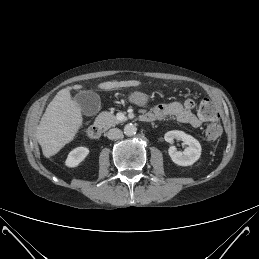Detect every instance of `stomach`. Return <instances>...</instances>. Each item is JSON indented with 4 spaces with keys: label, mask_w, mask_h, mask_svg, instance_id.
Instances as JSON below:
<instances>
[{
    "label": "stomach",
    "mask_w": 259,
    "mask_h": 259,
    "mask_svg": "<svg viewBox=\"0 0 259 259\" xmlns=\"http://www.w3.org/2000/svg\"><path fill=\"white\" fill-rule=\"evenodd\" d=\"M129 101L136 105L144 106L148 101V96L144 93L136 91L130 94Z\"/></svg>",
    "instance_id": "stomach-1"
}]
</instances>
